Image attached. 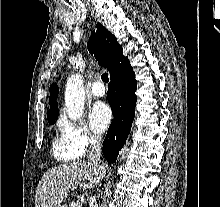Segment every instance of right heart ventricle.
I'll list each match as a JSON object with an SVG mask.
<instances>
[{
  "label": "right heart ventricle",
  "mask_w": 220,
  "mask_h": 207,
  "mask_svg": "<svg viewBox=\"0 0 220 207\" xmlns=\"http://www.w3.org/2000/svg\"><path fill=\"white\" fill-rule=\"evenodd\" d=\"M52 152L54 158L60 162L75 161L83 156V153L70 146L61 135L53 139Z\"/></svg>",
  "instance_id": "obj_1"
}]
</instances>
